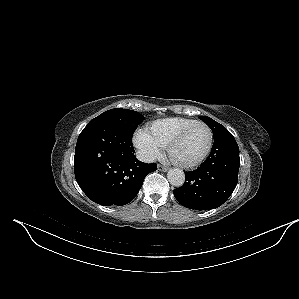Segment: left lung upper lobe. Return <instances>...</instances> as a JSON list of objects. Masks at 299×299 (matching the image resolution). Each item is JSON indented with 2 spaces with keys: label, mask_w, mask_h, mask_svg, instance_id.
Instances as JSON below:
<instances>
[{
  "label": "left lung upper lobe",
  "mask_w": 299,
  "mask_h": 299,
  "mask_svg": "<svg viewBox=\"0 0 299 299\" xmlns=\"http://www.w3.org/2000/svg\"><path fill=\"white\" fill-rule=\"evenodd\" d=\"M199 118L203 120L211 128L213 135H216L224 130H227L223 125L219 124L218 122L214 121L209 117L201 116Z\"/></svg>",
  "instance_id": "obj_1"
}]
</instances>
